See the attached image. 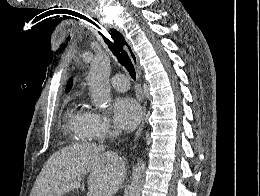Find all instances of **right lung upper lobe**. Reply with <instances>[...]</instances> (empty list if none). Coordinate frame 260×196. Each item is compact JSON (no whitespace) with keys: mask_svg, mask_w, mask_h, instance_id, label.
Wrapping results in <instances>:
<instances>
[{"mask_svg":"<svg viewBox=\"0 0 260 196\" xmlns=\"http://www.w3.org/2000/svg\"><path fill=\"white\" fill-rule=\"evenodd\" d=\"M71 81H69V85H68V87H67V91L66 92H68V90H69V87L71 86Z\"/></svg>","mask_w":260,"mask_h":196,"instance_id":"obj_1","label":"right lung upper lobe"}]
</instances>
